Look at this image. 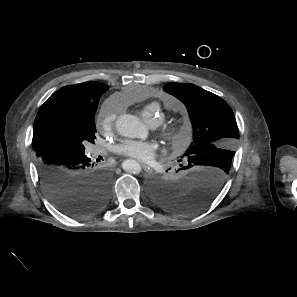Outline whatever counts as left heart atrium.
<instances>
[{
	"label": "left heart atrium",
	"mask_w": 297,
	"mask_h": 297,
	"mask_svg": "<svg viewBox=\"0 0 297 297\" xmlns=\"http://www.w3.org/2000/svg\"><path fill=\"white\" fill-rule=\"evenodd\" d=\"M158 145L153 141L125 140L117 151L140 162H151L156 157Z\"/></svg>",
	"instance_id": "left-heart-atrium-1"
}]
</instances>
